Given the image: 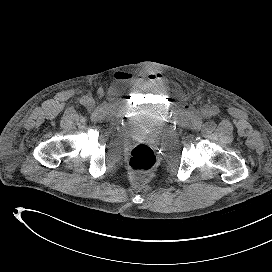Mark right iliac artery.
<instances>
[{"instance_id":"82829eb1","label":"right iliac artery","mask_w":272,"mask_h":272,"mask_svg":"<svg viewBox=\"0 0 272 272\" xmlns=\"http://www.w3.org/2000/svg\"><path fill=\"white\" fill-rule=\"evenodd\" d=\"M80 103L85 105L87 103V98L83 97L81 100H80Z\"/></svg>"}]
</instances>
